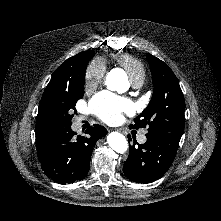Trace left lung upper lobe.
I'll use <instances>...</instances> for the list:
<instances>
[{"label":"left lung upper lobe","instance_id":"left-lung-upper-lobe-1","mask_svg":"<svg viewBox=\"0 0 221 221\" xmlns=\"http://www.w3.org/2000/svg\"><path fill=\"white\" fill-rule=\"evenodd\" d=\"M146 56L151 67L153 96L131 128L148 127V133L167 131L182 134L185 100L179 82L163 61L149 53Z\"/></svg>","mask_w":221,"mask_h":221}]
</instances>
